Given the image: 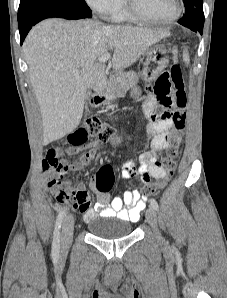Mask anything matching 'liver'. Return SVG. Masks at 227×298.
Returning a JSON list of instances; mask_svg holds the SVG:
<instances>
[{"mask_svg":"<svg viewBox=\"0 0 227 298\" xmlns=\"http://www.w3.org/2000/svg\"><path fill=\"white\" fill-rule=\"evenodd\" d=\"M167 36V31L109 26L92 20L46 19L33 27L23 52L40 106L43 145L78 127L87 89L101 93L106 87L101 56L113 51L112 66L120 72ZM73 70H79V75L74 76Z\"/></svg>","mask_w":227,"mask_h":298,"instance_id":"6515ba94","label":"liver"}]
</instances>
